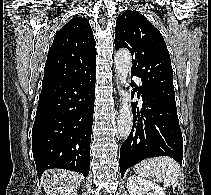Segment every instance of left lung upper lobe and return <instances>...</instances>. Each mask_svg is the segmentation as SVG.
<instances>
[{
  "label": "left lung upper lobe",
  "instance_id": "5c2ea615",
  "mask_svg": "<svg viewBox=\"0 0 211 195\" xmlns=\"http://www.w3.org/2000/svg\"><path fill=\"white\" fill-rule=\"evenodd\" d=\"M122 47L132 54V75L141 78L143 86L176 103L166 43L159 30L137 11L127 10L116 20L115 48Z\"/></svg>",
  "mask_w": 211,
  "mask_h": 195
}]
</instances>
